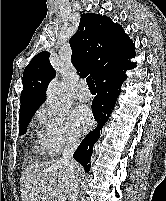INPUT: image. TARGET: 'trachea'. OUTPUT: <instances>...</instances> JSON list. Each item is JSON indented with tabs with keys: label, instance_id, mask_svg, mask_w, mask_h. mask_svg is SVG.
Returning a JSON list of instances; mask_svg holds the SVG:
<instances>
[{
	"label": "trachea",
	"instance_id": "3493384b",
	"mask_svg": "<svg viewBox=\"0 0 166 201\" xmlns=\"http://www.w3.org/2000/svg\"><path fill=\"white\" fill-rule=\"evenodd\" d=\"M86 82H87V85L90 88V90H96L94 81L92 80L91 77H87Z\"/></svg>",
	"mask_w": 166,
	"mask_h": 201
}]
</instances>
